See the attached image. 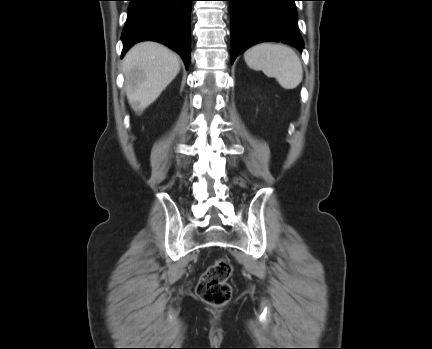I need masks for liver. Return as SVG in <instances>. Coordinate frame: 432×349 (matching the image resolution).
<instances>
[{"label": "liver", "mask_w": 432, "mask_h": 349, "mask_svg": "<svg viewBox=\"0 0 432 349\" xmlns=\"http://www.w3.org/2000/svg\"><path fill=\"white\" fill-rule=\"evenodd\" d=\"M128 102L136 113L152 104L180 71L177 54L155 42L134 45L123 59Z\"/></svg>", "instance_id": "obj_1"}]
</instances>
